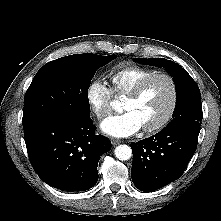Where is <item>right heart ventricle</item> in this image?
Masks as SVG:
<instances>
[{
    "instance_id": "e07e8e85",
    "label": "right heart ventricle",
    "mask_w": 221,
    "mask_h": 221,
    "mask_svg": "<svg viewBox=\"0 0 221 221\" xmlns=\"http://www.w3.org/2000/svg\"><path fill=\"white\" fill-rule=\"evenodd\" d=\"M154 72L137 65L122 67L110 76L111 91L118 96H127L140 80Z\"/></svg>"
}]
</instances>
